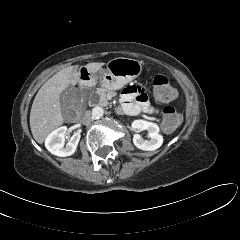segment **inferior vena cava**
<instances>
[{"mask_svg":"<svg viewBox=\"0 0 240 240\" xmlns=\"http://www.w3.org/2000/svg\"><path fill=\"white\" fill-rule=\"evenodd\" d=\"M92 119H93V117L91 115V112L86 111L85 114L82 117V123L85 124V125H88V124L91 123Z\"/></svg>","mask_w":240,"mask_h":240,"instance_id":"inferior-vena-cava-1","label":"inferior vena cava"}]
</instances>
